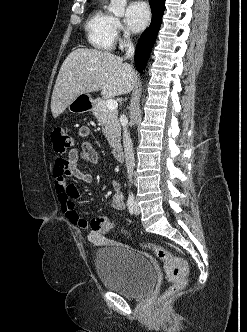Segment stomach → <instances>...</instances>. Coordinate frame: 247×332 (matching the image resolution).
Wrapping results in <instances>:
<instances>
[{"label":"stomach","instance_id":"1","mask_svg":"<svg viewBox=\"0 0 247 332\" xmlns=\"http://www.w3.org/2000/svg\"><path fill=\"white\" fill-rule=\"evenodd\" d=\"M93 105L94 101L89 95L81 94L68 105V108L71 112H81L90 110Z\"/></svg>","mask_w":247,"mask_h":332}]
</instances>
